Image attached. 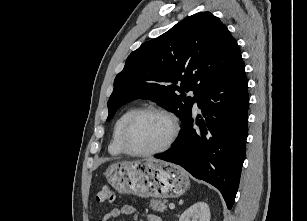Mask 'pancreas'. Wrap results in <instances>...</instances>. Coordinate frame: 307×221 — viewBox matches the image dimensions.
Segmentation results:
<instances>
[{"label": "pancreas", "instance_id": "pancreas-1", "mask_svg": "<svg viewBox=\"0 0 307 221\" xmlns=\"http://www.w3.org/2000/svg\"><path fill=\"white\" fill-rule=\"evenodd\" d=\"M150 207L154 211L158 212H164L167 208L166 201L165 200H153L150 204Z\"/></svg>", "mask_w": 307, "mask_h": 221}]
</instances>
